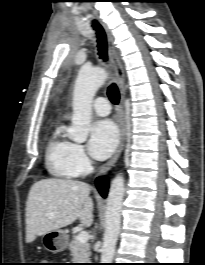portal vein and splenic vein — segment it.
Wrapping results in <instances>:
<instances>
[{
    "instance_id": "1",
    "label": "portal vein and splenic vein",
    "mask_w": 205,
    "mask_h": 265,
    "mask_svg": "<svg viewBox=\"0 0 205 265\" xmlns=\"http://www.w3.org/2000/svg\"><path fill=\"white\" fill-rule=\"evenodd\" d=\"M89 239V234L86 231H81L79 232V234L77 235V240L80 243H86Z\"/></svg>"
}]
</instances>
